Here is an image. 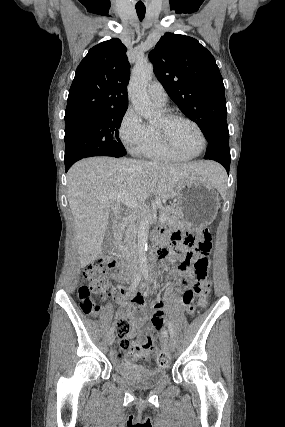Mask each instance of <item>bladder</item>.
I'll return each mask as SVG.
<instances>
[{
  "label": "bladder",
  "instance_id": "bladder-1",
  "mask_svg": "<svg viewBox=\"0 0 285 427\" xmlns=\"http://www.w3.org/2000/svg\"><path fill=\"white\" fill-rule=\"evenodd\" d=\"M114 371L120 375L124 381L137 388L154 387L167 376L164 368H150L137 363H130L124 367L115 368Z\"/></svg>",
  "mask_w": 285,
  "mask_h": 427
}]
</instances>
